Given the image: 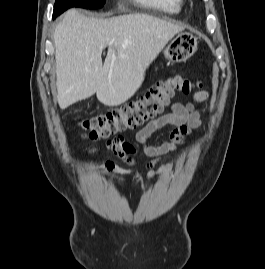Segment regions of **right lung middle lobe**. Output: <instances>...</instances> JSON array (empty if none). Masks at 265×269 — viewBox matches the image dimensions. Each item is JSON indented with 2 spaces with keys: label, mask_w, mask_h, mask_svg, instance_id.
<instances>
[{
  "label": "right lung middle lobe",
  "mask_w": 265,
  "mask_h": 269,
  "mask_svg": "<svg viewBox=\"0 0 265 269\" xmlns=\"http://www.w3.org/2000/svg\"><path fill=\"white\" fill-rule=\"evenodd\" d=\"M106 0H56L54 12L57 16L71 7L96 9L104 6Z\"/></svg>",
  "instance_id": "obj_1"
}]
</instances>
